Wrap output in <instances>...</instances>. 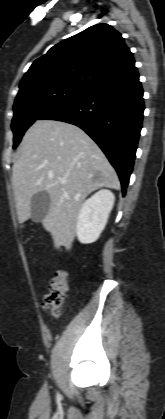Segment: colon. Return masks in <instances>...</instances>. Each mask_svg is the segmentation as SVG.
Here are the masks:
<instances>
[{
  "label": "colon",
  "mask_w": 165,
  "mask_h": 419,
  "mask_svg": "<svg viewBox=\"0 0 165 419\" xmlns=\"http://www.w3.org/2000/svg\"><path fill=\"white\" fill-rule=\"evenodd\" d=\"M68 290V276L63 270H58L50 281L48 293L45 295L43 307L54 317L60 316V308Z\"/></svg>",
  "instance_id": "colon-1"
}]
</instances>
